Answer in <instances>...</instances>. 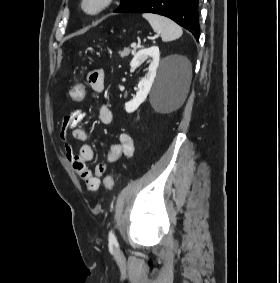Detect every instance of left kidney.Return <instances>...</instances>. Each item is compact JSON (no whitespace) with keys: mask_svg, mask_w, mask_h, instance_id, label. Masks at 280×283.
<instances>
[{"mask_svg":"<svg viewBox=\"0 0 280 283\" xmlns=\"http://www.w3.org/2000/svg\"><path fill=\"white\" fill-rule=\"evenodd\" d=\"M147 57H150V59L148 60V72L139 81L136 96L131 101L125 103V110L127 113H132L137 110L138 107L146 100L151 90L152 84L156 77V72L160 60V52L158 46H152L138 51L132 59L130 66L136 67L141 61H144ZM169 59H179L184 63L187 62L185 58L179 56H171Z\"/></svg>","mask_w":280,"mask_h":283,"instance_id":"obj_1","label":"left kidney"}]
</instances>
